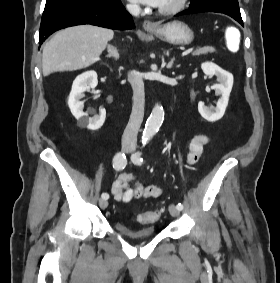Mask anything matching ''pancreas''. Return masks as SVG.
Listing matches in <instances>:
<instances>
[{
	"instance_id": "obj_1",
	"label": "pancreas",
	"mask_w": 280,
	"mask_h": 283,
	"mask_svg": "<svg viewBox=\"0 0 280 283\" xmlns=\"http://www.w3.org/2000/svg\"><path fill=\"white\" fill-rule=\"evenodd\" d=\"M215 52V48L211 47V46H206V47H202L197 49L196 51L193 52V56H200V55H207L208 53H214Z\"/></svg>"
}]
</instances>
